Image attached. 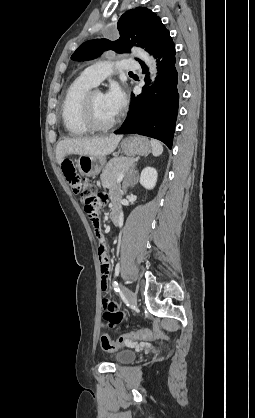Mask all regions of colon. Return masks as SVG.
<instances>
[{"label":"colon","instance_id":"1","mask_svg":"<svg viewBox=\"0 0 255 418\" xmlns=\"http://www.w3.org/2000/svg\"><path fill=\"white\" fill-rule=\"evenodd\" d=\"M63 172L73 192L80 196L84 205L85 212L93 227L97 231V235H99L98 231L100 224L98 219V209L104 200V196L95 194L94 187L77 174L73 164L70 161H65L63 163ZM152 338L153 333L150 330L145 329L121 335L116 340H112L107 334H103L100 342L104 351L111 352L116 351L126 345L133 344L136 340H150Z\"/></svg>","mask_w":255,"mask_h":418}]
</instances>
